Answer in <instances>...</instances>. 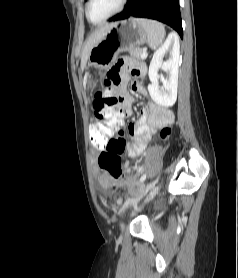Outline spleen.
<instances>
[{"mask_svg": "<svg viewBox=\"0 0 238 278\" xmlns=\"http://www.w3.org/2000/svg\"><path fill=\"white\" fill-rule=\"evenodd\" d=\"M138 21L147 32L148 45L153 49L159 47L162 44L163 39L165 37L164 26L161 23L154 20L138 19Z\"/></svg>", "mask_w": 238, "mask_h": 278, "instance_id": "3e777b00", "label": "spleen"}]
</instances>
